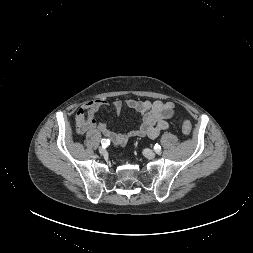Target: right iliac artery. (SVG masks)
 <instances>
[{
  "label": "right iliac artery",
  "mask_w": 253,
  "mask_h": 253,
  "mask_svg": "<svg viewBox=\"0 0 253 253\" xmlns=\"http://www.w3.org/2000/svg\"><path fill=\"white\" fill-rule=\"evenodd\" d=\"M101 144H102L103 148H106L110 144V140L109 139H102Z\"/></svg>",
  "instance_id": "82829eb1"
}]
</instances>
